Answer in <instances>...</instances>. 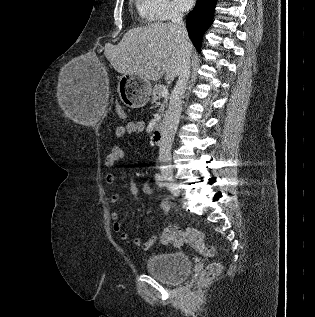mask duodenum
Returning a JSON list of instances; mask_svg holds the SVG:
<instances>
[{
    "label": "duodenum",
    "mask_w": 315,
    "mask_h": 317,
    "mask_svg": "<svg viewBox=\"0 0 315 317\" xmlns=\"http://www.w3.org/2000/svg\"><path fill=\"white\" fill-rule=\"evenodd\" d=\"M164 135H165V131H164V127L162 124H158L153 132V140L156 144H162L163 140H164Z\"/></svg>",
    "instance_id": "1"
}]
</instances>
